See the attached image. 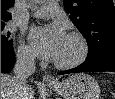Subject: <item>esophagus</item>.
<instances>
[{
	"mask_svg": "<svg viewBox=\"0 0 115 99\" xmlns=\"http://www.w3.org/2000/svg\"><path fill=\"white\" fill-rule=\"evenodd\" d=\"M43 82L46 84H54L56 80L48 74L43 75Z\"/></svg>",
	"mask_w": 115,
	"mask_h": 99,
	"instance_id": "1",
	"label": "esophagus"
}]
</instances>
